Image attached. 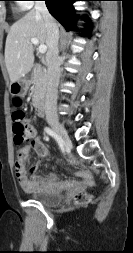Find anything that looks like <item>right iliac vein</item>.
<instances>
[{
    "instance_id": "63e3f726",
    "label": "right iliac vein",
    "mask_w": 133,
    "mask_h": 253,
    "mask_svg": "<svg viewBox=\"0 0 133 253\" xmlns=\"http://www.w3.org/2000/svg\"><path fill=\"white\" fill-rule=\"evenodd\" d=\"M49 124L55 130V132L61 137L64 145L65 146H70L71 145V140H70L66 130L61 125V123L56 119H52V120L49 121Z\"/></svg>"
}]
</instances>
